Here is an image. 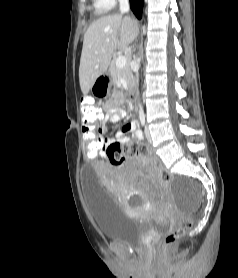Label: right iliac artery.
Instances as JSON below:
<instances>
[{"mask_svg": "<svg viewBox=\"0 0 238 278\" xmlns=\"http://www.w3.org/2000/svg\"><path fill=\"white\" fill-rule=\"evenodd\" d=\"M139 118H140L141 125L144 127L145 126V115L143 113H140Z\"/></svg>", "mask_w": 238, "mask_h": 278, "instance_id": "obj_1", "label": "right iliac artery"}]
</instances>
